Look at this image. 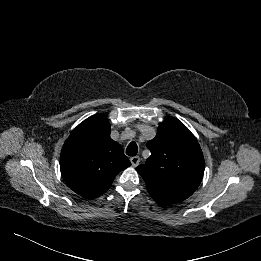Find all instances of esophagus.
<instances>
[{
	"instance_id": "34e87169",
	"label": "esophagus",
	"mask_w": 261,
	"mask_h": 261,
	"mask_svg": "<svg viewBox=\"0 0 261 261\" xmlns=\"http://www.w3.org/2000/svg\"><path fill=\"white\" fill-rule=\"evenodd\" d=\"M131 164L133 167H136L139 162H140V158L138 156H134L130 158Z\"/></svg>"
}]
</instances>
